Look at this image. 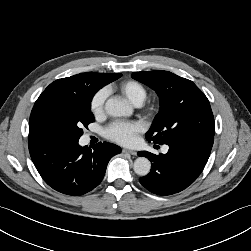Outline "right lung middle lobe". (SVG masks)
Returning a JSON list of instances; mask_svg holds the SVG:
<instances>
[{
	"mask_svg": "<svg viewBox=\"0 0 251 251\" xmlns=\"http://www.w3.org/2000/svg\"><path fill=\"white\" fill-rule=\"evenodd\" d=\"M120 76L87 73L77 92L37 99L30 116L37 134L54 139L78 140L83 134L82 127L87 128L95 121L90 111L94 94Z\"/></svg>",
	"mask_w": 251,
	"mask_h": 251,
	"instance_id": "right-lung-middle-lobe-1",
	"label": "right lung middle lobe"
}]
</instances>
